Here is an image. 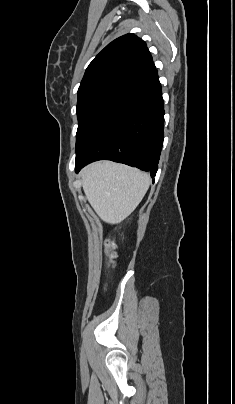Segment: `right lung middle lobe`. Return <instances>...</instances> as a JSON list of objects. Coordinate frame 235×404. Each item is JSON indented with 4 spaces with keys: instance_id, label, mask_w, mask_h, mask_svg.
<instances>
[{
    "instance_id": "obj_1",
    "label": "right lung middle lobe",
    "mask_w": 235,
    "mask_h": 404,
    "mask_svg": "<svg viewBox=\"0 0 235 404\" xmlns=\"http://www.w3.org/2000/svg\"><path fill=\"white\" fill-rule=\"evenodd\" d=\"M128 85L123 82L100 83L78 91L76 150Z\"/></svg>"
}]
</instances>
